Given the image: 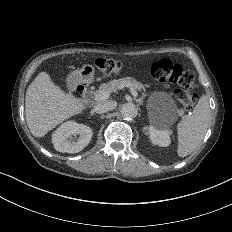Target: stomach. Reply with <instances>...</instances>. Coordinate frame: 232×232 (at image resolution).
<instances>
[{"label": "stomach", "mask_w": 232, "mask_h": 232, "mask_svg": "<svg viewBox=\"0 0 232 232\" xmlns=\"http://www.w3.org/2000/svg\"><path fill=\"white\" fill-rule=\"evenodd\" d=\"M79 72L81 73V76L84 77L86 82H92L95 77L96 69L92 64H84Z\"/></svg>", "instance_id": "obj_1"}]
</instances>
